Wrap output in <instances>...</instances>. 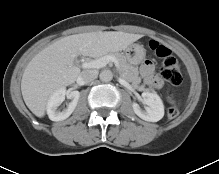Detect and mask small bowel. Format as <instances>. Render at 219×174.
Wrapping results in <instances>:
<instances>
[{"label": "small bowel", "instance_id": "1", "mask_svg": "<svg viewBox=\"0 0 219 174\" xmlns=\"http://www.w3.org/2000/svg\"><path fill=\"white\" fill-rule=\"evenodd\" d=\"M141 74L150 87L156 89L161 87V79L157 75L154 63L151 60H146L142 64Z\"/></svg>", "mask_w": 219, "mask_h": 174}]
</instances>
